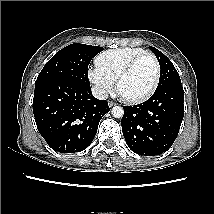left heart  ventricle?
<instances>
[{
    "mask_svg": "<svg viewBox=\"0 0 214 214\" xmlns=\"http://www.w3.org/2000/svg\"><path fill=\"white\" fill-rule=\"evenodd\" d=\"M155 79V66L151 59L144 58L124 78L120 85L121 93L128 98L144 95L152 87Z\"/></svg>",
    "mask_w": 214,
    "mask_h": 214,
    "instance_id": "1",
    "label": "left heart ventricle"
}]
</instances>
